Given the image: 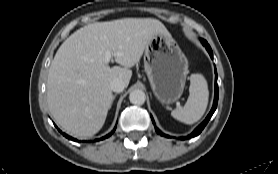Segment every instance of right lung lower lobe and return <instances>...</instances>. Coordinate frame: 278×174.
<instances>
[{"mask_svg": "<svg viewBox=\"0 0 278 174\" xmlns=\"http://www.w3.org/2000/svg\"><path fill=\"white\" fill-rule=\"evenodd\" d=\"M115 129H116V127L114 128V130H113L111 133H109L108 135H106V136L100 138L99 140H102V139H105V138L109 137L111 134H113V132L115 131ZM59 131H60V130H59ZM60 132H61V131H60ZM63 135H64L66 138L70 139V140L77 141L76 139H74V138L68 136V135L65 134V133H63Z\"/></svg>", "mask_w": 278, "mask_h": 174, "instance_id": "right-lung-lower-lobe-1", "label": "right lung lower lobe"}]
</instances>
